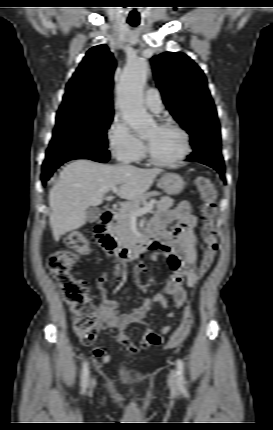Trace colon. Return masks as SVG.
Listing matches in <instances>:
<instances>
[{
	"mask_svg": "<svg viewBox=\"0 0 273 430\" xmlns=\"http://www.w3.org/2000/svg\"><path fill=\"white\" fill-rule=\"evenodd\" d=\"M196 187L202 199L201 220L202 236L206 244L201 264L197 270L198 280L211 268L217 251L218 241L215 227L217 193L209 178L199 176ZM66 249L52 252L47 260V267L62 292L65 303L72 311V324L76 335L85 345H91L98 329V311L93 304L89 289L82 279L74 276L72 267L80 255L89 251L88 240L81 234L73 232L66 236ZM194 323L192 308L186 306L182 325L176 329L165 345L166 349L178 347L187 337Z\"/></svg>",
	"mask_w": 273,
	"mask_h": 430,
	"instance_id": "colon-1",
	"label": "colon"
}]
</instances>
